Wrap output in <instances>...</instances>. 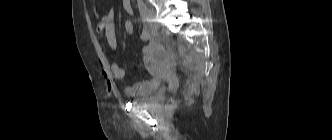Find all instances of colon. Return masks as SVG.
Masks as SVG:
<instances>
[{
    "label": "colon",
    "mask_w": 332,
    "mask_h": 140,
    "mask_svg": "<svg viewBox=\"0 0 332 140\" xmlns=\"http://www.w3.org/2000/svg\"><path fill=\"white\" fill-rule=\"evenodd\" d=\"M123 29H124V32L128 35H131L133 34L134 32V24L132 21L130 20H126L123 24Z\"/></svg>",
    "instance_id": "1"
}]
</instances>
